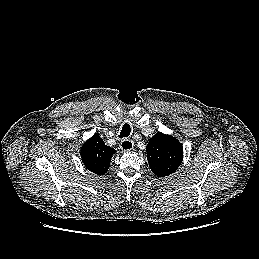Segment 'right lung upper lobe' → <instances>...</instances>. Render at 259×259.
<instances>
[{"label": "right lung upper lobe", "mask_w": 259, "mask_h": 259, "mask_svg": "<svg viewBox=\"0 0 259 259\" xmlns=\"http://www.w3.org/2000/svg\"><path fill=\"white\" fill-rule=\"evenodd\" d=\"M114 153L115 150L105 145L98 133L88 139L80 151L82 162L86 168L97 175H104L107 172Z\"/></svg>", "instance_id": "cb5924a9"}]
</instances>
